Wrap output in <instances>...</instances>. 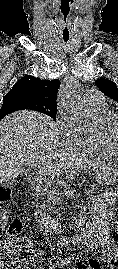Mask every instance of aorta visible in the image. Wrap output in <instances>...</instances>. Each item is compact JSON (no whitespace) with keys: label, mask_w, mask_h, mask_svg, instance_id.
<instances>
[{"label":"aorta","mask_w":118,"mask_h":269,"mask_svg":"<svg viewBox=\"0 0 118 269\" xmlns=\"http://www.w3.org/2000/svg\"><path fill=\"white\" fill-rule=\"evenodd\" d=\"M60 105L83 129L90 130L94 127V121L82 101L80 84L74 77L63 83L60 89Z\"/></svg>","instance_id":"1"}]
</instances>
